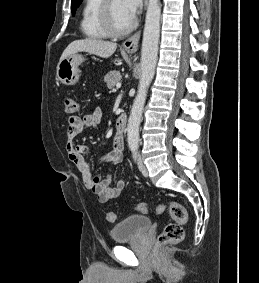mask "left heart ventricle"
I'll use <instances>...</instances> for the list:
<instances>
[{
    "label": "left heart ventricle",
    "instance_id": "obj_1",
    "mask_svg": "<svg viewBox=\"0 0 259 283\" xmlns=\"http://www.w3.org/2000/svg\"><path fill=\"white\" fill-rule=\"evenodd\" d=\"M113 20L118 29L126 28L132 18L124 11L121 0H112Z\"/></svg>",
    "mask_w": 259,
    "mask_h": 283
}]
</instances>
